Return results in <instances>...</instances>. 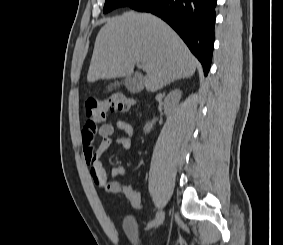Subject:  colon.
<instances>
[{
    "label": "colon",
    "instance_id": "colon-1",
    "mask_svg": "<svg viewBox=\"0 0 283 245\" xmlns=\"http://www.w3.org/2000/svg\"><path fill=\"white\" fill-rule=\"evenodd\" d=\"M133 104L132 99L121 95L105 98L90 97L86 101L87 121L92 123L103 122L107 112H125ZM122 194L125 195L133 207L140 208L142 206V197L132 185L122 183Z\"/></svg>",
    "mask_w": 283,
    "mask_h": 245
}]
</instances>
